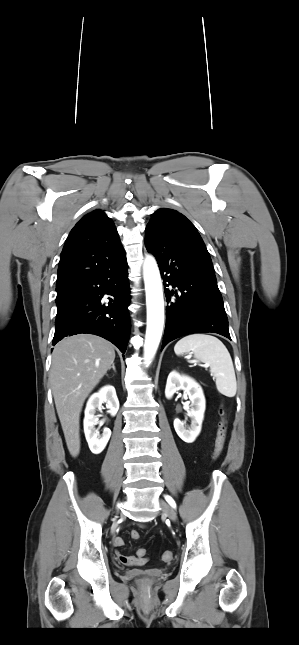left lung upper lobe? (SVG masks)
Returning a JSON list of instances; mask_svg holds the SVG:
<instances>
[{
    "label": "left lung upper lobe",
    "instance_id": "left-lung-upper-lobe-1",
    "mask_svg": "<svg viewBox=\"0 0 299 645\" xmlns=\"http://www.w3.org/2000/svg\"><path fill=\"white\" fill-rule=\"evenodd\" d=\"M172 229L186 230L199 235L194 225L184 215L168 208L158 209L152 214L146 233L167 232Z\"/></svg>",
    "mask_w": 299,
    "mask_h": 645
}]
</instances>
